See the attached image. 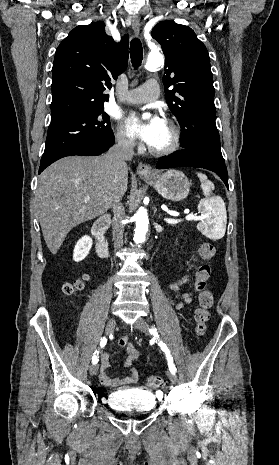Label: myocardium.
Returning a JSON list of instances; mask_svg holds the SVG:
<instances>
[{
	"mask_svg": "<svg viewBox=\"0 0 279 465\" xmlns=\"http://www.w3.org/2000/svg\"><path fill=\"white\" fill-rule=\"evenodd\" d=\"M164 123H166L172 131V141L167 147L162 149H154L151 146H148V151L154 156H166L172 154L178 150L181 144L182 133L180 126L172 119H165Z\"/></svg>",
	"mask_w": 279,
	"mask_h": 465,
	"instance_id": "myocardium-1",
	"label": "myocardium"
}]
</instances>
